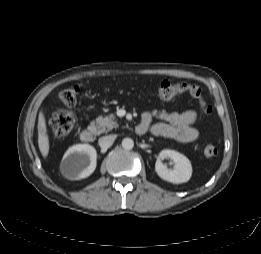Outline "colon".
Masks as SVG:
<instances>
[{
    "mask_svg": "<svg viewBox=\"0 0 261 254\" xmlns=\"http://www.w3.org/2000/svg\"><path fill=\"white\" fill-rule=\"evenodd\" d=\"M79 93L80 87L78 85L65 88L59 93V101L66 107H73L77 103ZM180 94H188L198 103L205 116H213L212 106L204 99L201 88L196 84L164 80L159 84L153 95L159 100H170ZM74 124L75 114L69 109H59L50 118V126L56 136L69 134ZM203 152L206 157H214L217 155L218 150L214 145H207Z\"/></svg>",
    "mask_w": 261,
    "mask_h": 254,
    "instance_id": "1",
    "label": "colon"
}]
</instances>
